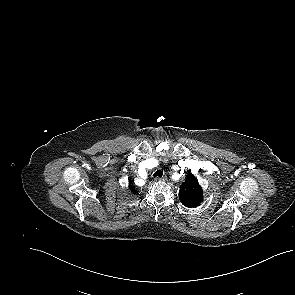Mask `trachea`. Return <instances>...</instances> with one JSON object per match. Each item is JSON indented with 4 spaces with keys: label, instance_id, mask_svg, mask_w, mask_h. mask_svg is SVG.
I'll return each instance as SVG.
<instances>
[{
    "label": "trachea",
    "instance_id": "3493384b",
    "mask_svg": "<svg viewBox=\"0 0 295 295\" xmlns=\"http://www.w3.org/2000/svg\"><path fill=\"white\" fill-rule=\"evenodd\" d=\"M162 175H163V171H161V170H158V171H156L155 173H154V177H159V178H161L162 177Z\"/></svg>",
    "mask_w": 295,
    "mask_h": 295
}]
</instances>
